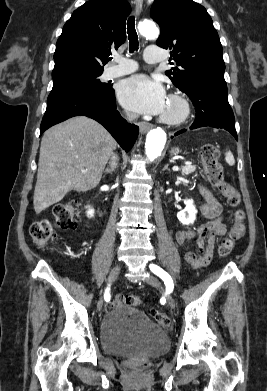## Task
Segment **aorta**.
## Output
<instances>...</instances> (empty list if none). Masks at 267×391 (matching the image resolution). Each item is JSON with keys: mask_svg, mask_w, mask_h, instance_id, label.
Returning a JSON list of instances; mask_svg holds the SVG:
<instances>
[{"mask_svg": "<svg viewBox=\"0 0 267 391\" xmlns=\"http://www.w3.org/2000/svg\"><path fill=\"white\" fill-rule=\"evenodd\" d=\"M141 35L148 39H156L159 36V29L152 21H143L138 26ZM166 143V133L161 128H155L148 132L145 152L149 160L161 155Z\"/></svg>", "mask_w": 267, "mask_h": 391, "instance_id": "obj_1", "label": "aorta"}]
</instances>
